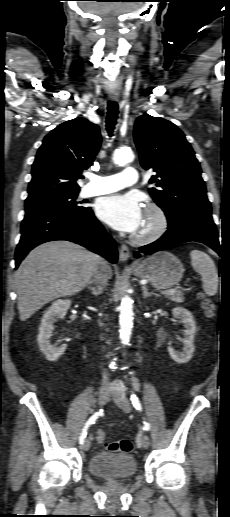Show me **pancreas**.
I'll use <instances>...</instances> for the list:
<instances>
[{
	"instance_id": "pancreas-1",
	"label": "pancreas",
	"mask_w": 230,
	"mask_h": 517,
	"mask_svg": "<svg viewBox=\"0 0 230 517\" xmlns=\"http://www.w3.org/2000/svg\"><path fill=\"white\" fill-rule=\"evenodd\" d=\"M166 297L169 300L173 301V302L181 303V302L184 301V297H183V292L182 291H175L172 294H166Z\"/></svg>"
}]
</instances>
